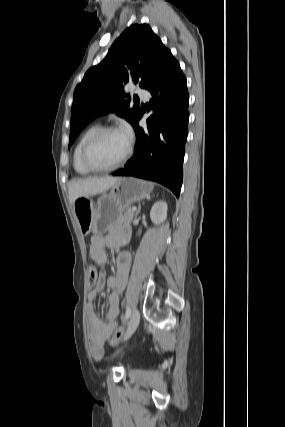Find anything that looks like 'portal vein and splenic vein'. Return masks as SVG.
Instances as JSON below:
<instances>
[{
    "label": "portal vein and splenic vein",
    "mask_w": 285,
    "mask_h": 427,
    "mask_svg": "<svg viewBox=\"0 0 285 427\" xmlns=\"http://www.w3.org/2000/svg\"><path fill=\"white\" fill-rule=\"evenodd\" d=\"M132 210H133V211H135V210H136V208H135V207H132Z\"/></svg>",
    "instance_id": "portal-vein-and-splenic-vein-1"
}]
</instances>
